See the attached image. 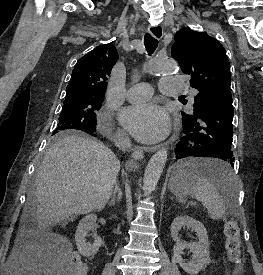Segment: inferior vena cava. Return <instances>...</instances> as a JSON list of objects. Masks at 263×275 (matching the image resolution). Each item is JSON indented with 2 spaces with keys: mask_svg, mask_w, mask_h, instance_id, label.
<instances>
[{
  "mask_svg": "<svg viewBox=\"0 0 263 275\" xmlns=\"http://www.w3.org/2000/svg\"><path fill=\"white\" fill-rule=\"evenodd\" d=\"M116 145L121 149H127L131 147V142L127 136L119 135L116 139Z\"/></svg>",
  "mask_w": 263,
  "mask_h": 275,
  "instance_id": "602c4592",
  "label": "inferior vena cava"
}]
</instances>
